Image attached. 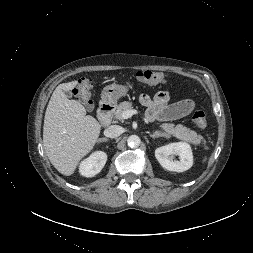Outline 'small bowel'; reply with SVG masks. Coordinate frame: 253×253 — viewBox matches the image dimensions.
Masks as SVG:
<instances>
[{
	"mask_svg": "<svg viewBox=\"0 0 253 253\" xmlns=\"http://www.w3.org/2000/svg\"><path fill=\"white\" fill-rule=\"evenodd\" d=\"M170 93L167 90L156 93L153 97L147 94L140 96V102L147 108V118L150 121H171L187 116L194 109L193 100L186 99L169 104Z\"/></svg>",
	"mask_w": 253,
	"mask_h": 253,
	"instance_id": "1",
	"label": "small bowel"
}]
</instances>
